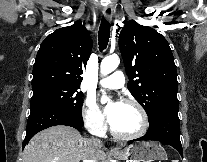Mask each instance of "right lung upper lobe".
<instances>
[{"label":"right lung upper lobe","instance_id":"cb5924a9","mask_svg":"<svg viewBox=\"0 0 207 162\" xmlns=\"http://www.w3.org/2000/svg\"><path fill=\"white\" fill-rule=\"evenodd\" d=\"M91 49L89 32L80 22L57 29L40 46L33 66L32 86L80 87Z\"/></svg>","mask_w":207,"mask_h":162}]
</instances>
